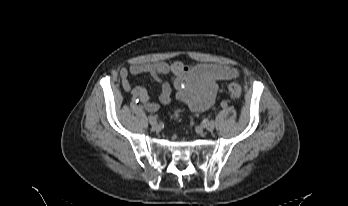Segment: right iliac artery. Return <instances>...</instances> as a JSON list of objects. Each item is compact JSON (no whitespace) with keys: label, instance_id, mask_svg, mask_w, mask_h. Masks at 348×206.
Segmentation results:
<instances>
[{"label":"right iliac artery","instance_id":"obj_1","mask_svg":"<svg viewBox=\"0 0 348 206\" xmlns=\"http://www.w3.org/2000/svg\"><path fill=\"white\" fill-rule=\"evenodd\" d=\"M139 102H140V99L138 98V96H133V103L138 104Z\"/></svg>","mask_w":348,"mask_h":206}]
</instances>
